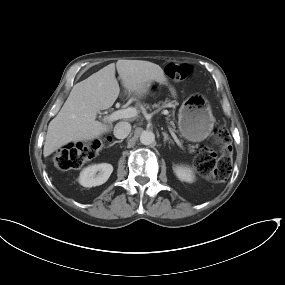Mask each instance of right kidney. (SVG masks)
<instances>
[{"label": "right kidney", "mask_w": 285, "mask_h": 285, "mask_svg": "<svg viewBox=\"0 0 285 285\" xmlns=\"http://www.w3.org/2000/svg\"><path fill=\"white\" fill-rule=\"evenodd\" d=\"M112 172L111 164H94L83 169L79 176V183L84 187L99 186L108 180Z\"/></svg>", "instance_id": "obj_1"}]
</instances>
